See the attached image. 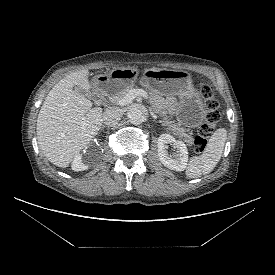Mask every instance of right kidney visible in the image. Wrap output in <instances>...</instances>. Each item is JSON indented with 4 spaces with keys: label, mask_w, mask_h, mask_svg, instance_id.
<instances>
[{
    "label": "right kidney",
    "mask_w": 275,
    "mask_h": 275,
    "mask_svg": "<svg viewBox=\"0 0 275 275\" xmlns=\"http://www.w3.org/2000/svg\"><path fill=\"white\" fill-rule=\"evenodd\" d=\"M71 167H72V170L77 172L86 170L88 168V166L83 162L81 154H77L74 157Z\"/></svg>",
    "instance_id": "obj_1"
}]
</instances>
